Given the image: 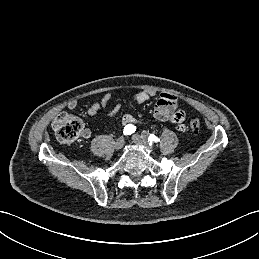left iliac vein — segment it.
Wrapping results in <instances>:
<instances>
[{
	"label": "left iliac vein",
	"mask_w": 259,
	"mask_h": 259,
	"mask_svg": "<svg viewBox=\"0 0 259 259\" xmlns=\"http://www.w3.org/2000/svg\"><path fill=\"white\" fill-rule=\"evenodd\" d=\"M132 139L135 144L140 146H145L147 147L148 150H151V147L148 146V142L145 138L136 134V135H133Z\"/></svg>",
	"instance_id": "left-iliac-vein-1"
}]
</instances>
